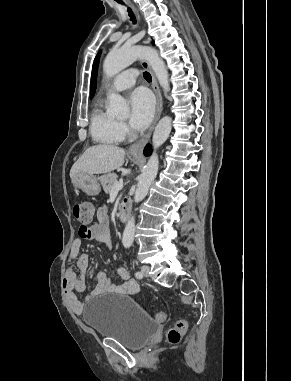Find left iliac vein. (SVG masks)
Segmentation results:
<instances>
[{
  "label": "left iliac vein",
  "mask_w": 291,
  "mask_h": 381,
  "mask_svg": "<svg viewBox=\"0 0 291 381\" xmlns=\"http://www.w3.org/2000/svg\"><path fill=\"white\" fill-rule=\"evenodd\" d=\"M149 270H150V267L147 265H143L141 267V273L143 274V276L148 277L149 276Z\"/></svg>",
  "instance_id": "1"
}]
</instances>
